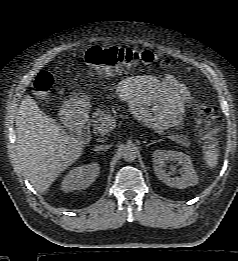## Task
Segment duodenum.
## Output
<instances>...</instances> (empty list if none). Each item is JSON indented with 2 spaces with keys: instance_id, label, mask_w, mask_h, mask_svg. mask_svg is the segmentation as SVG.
<instances>
[{
  "instance_id": "duodenum-1",
  "label": "duodenum",
  "mask_w": 238,
  "mask_h": 261,
  "mask_svg": "<svg viewBox=\"0 0 238 261\" xmlns=\"http://www.w3.org/2000/svg\"><path fill=\"white\" fill-rule=\"evenodd\" d=\"M66 121L77 131L81 141H86L88 139L91 119L87 114L70 113L67 115Z\"/></svg>"
}]
</instances>
